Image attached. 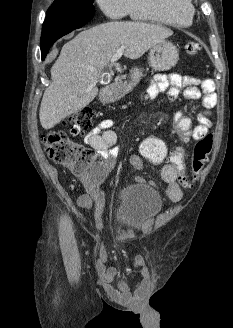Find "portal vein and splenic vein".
<instances>
[{
  "label": "portal vein and splenic vein",
  "instance_id": "portal-vein-and-splenic-vein-1",
  "mask_svg": "<svg viewBox=\"0 0 233 328\" xmlns=\"http://www.w3.org/2000/svg\"><path fill=\"white\" fill-rule=\"evenodd\" d=\"M125 50V47L124 46H121L117 52L113 55L112 59H111V63H114L116 62L123 54ZM91 71H93L94 69L93 68H89ZM116 70L119 72L121 71V69L119 67H116Z\"/></svg>",
  "mask_w": 233,
  "mask_h": 328
}]
</instances>
